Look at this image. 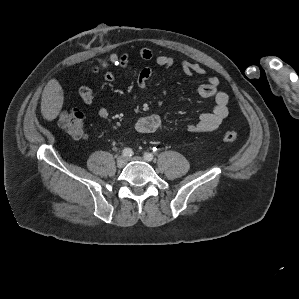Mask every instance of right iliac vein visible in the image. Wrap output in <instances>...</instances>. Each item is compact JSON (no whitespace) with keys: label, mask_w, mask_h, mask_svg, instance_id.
<instances>
[{"label":"right iliac vein","mask_w":299,"mask_h":299,"mask_svg":"<svg viewBox=\"0 0 299 299\" xmlns=\"http://www.w3.org/2000/svg\"><path fill=\"white\" fill-rule=\"evenodd\" d=\"M127 163V158L125 156H119L117 158V167L122 168L126 165Z\"/></svg>","instance_id":"63e3f726"}]
</instances>
